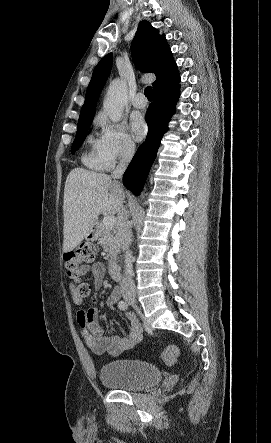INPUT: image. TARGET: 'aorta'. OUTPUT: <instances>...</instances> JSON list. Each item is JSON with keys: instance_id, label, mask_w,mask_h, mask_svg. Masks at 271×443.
Returning a JSON list of instances; mask_svg holds the SVG:
<instances>
[{"instance_id": "aorta-1", "label": "aorta", "mask_w": 271, "mask_h": 443, "mask_svg": "<svg viewBox=\"0 0 271 443\" xmlns=\"http://www.w3.org/2000/svg\"><path fill=\"white\" fill-rule=\"evenodd\" d=\"M127 100V86L125 82H122L119 78L112 80L103 102V108L112 122H120ZM132 257V251H126L125 269L127 275H133Z\"/></svg>"}]
</instances>
